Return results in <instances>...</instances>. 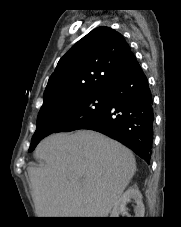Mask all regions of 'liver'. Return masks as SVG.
<instances>
[{
	"mask_svg": "<svg viewBox=\"0 0 181 227\" xmlns=\"http://www.w3.org/2000/svg\"><path fill=\"white\" fill-rule=\"evenodd\" d=\"M29 178L39 217H107L136 171L133 153L91 130L59 133L41 141Z\"/></svg>",
	"mask_w": 181,
	"mask_h": 227,
	"instance_id": "obj_1",
	"label": "liver"
}]
</instances>
